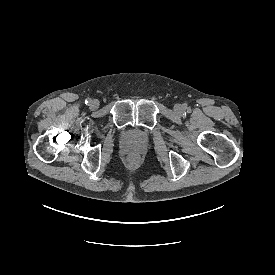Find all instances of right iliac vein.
I'll return each instance as SVG.
<instances>
[{
    "instance_id": "right-iliac-vein-1",
    "label": "right iliac vein",
    "mask_w": 275,
    "mask_h": 275,
    "mask_svg": "<svg viewBox=\"0 0 275 275\" xmlns=\"http://www.w3.org/2000/svg\"><path fill=\"white\" fill-rule=\"evenodd\" d=\"M90 107L93 108V109H96V108L98 107V101L93 100V101L90 103Z\"/></svg>"
}]
</instances>
